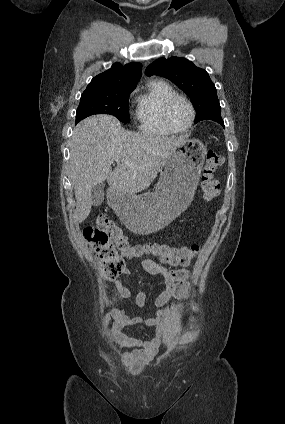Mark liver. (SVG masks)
Returning <instances> with one entry per match:
<instances>
[{
    "mask_svg": "<svg viewBox=\"0 0 285 424\" xmlns=\"http://www.w3.org/2000/svg\"><path fill=\"white\" fill-rule=\"evenodd\" d=\"M184 137L135 133L110 115H93L77 124L70 140V178L79 223L91 212L92 187L107 180L112 193L134 195L147 189ZM117 166L112 171L111 165ZM128 164H127V163Z\"/></svg>",
    "mask_w": 285,
    "mask_h": 424,
    "instance_id": "obj_1",
    "label": "liver"
}]
</instances>
